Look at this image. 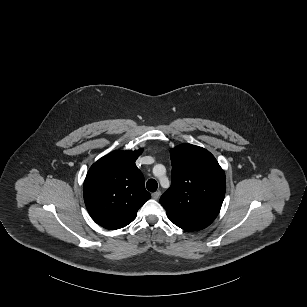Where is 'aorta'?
Listing matches in <instances>:
<instances>
[{
	"label": "aorta",
	"instance_id": "1",
	"mask_svg": "<svg viewBox=\"0 0 307 307\" xmlns=\"http://www.w3.org/2000/svg\"><path fill=\"white\" fill-rule=\"evenodd\" d=\"M153 174L157 176L160 180L161 185L164 182H169L168 178L166 177V168L162 164H158L153 168Z\"/></svg>",
	"mask_w": 307,
	"mask_h": 307
}]
</instances>
